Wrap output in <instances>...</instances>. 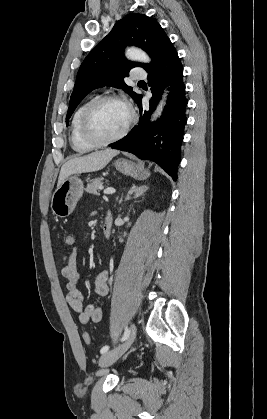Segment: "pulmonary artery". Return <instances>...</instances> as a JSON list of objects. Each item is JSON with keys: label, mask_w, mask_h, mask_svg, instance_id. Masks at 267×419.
<instances>
[{"label": "pulmonary artery", "mask_w": 267, "mask_h": 419, "mask_svg": "<svg viewBox=\"0 0 267 419\" xmlns=\"http://www.w3.org/2000/svg\"><path fill=\"white\" fill-rule=\"evenodd\" d=\"M132 79L134 80H143L146 78V73L142 69H134L131 74Z\"/></svg>", "instance_id": "e3ab8cb5"}]
</instances>
